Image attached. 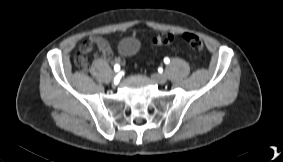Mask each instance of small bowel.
Returning <instances> with one entry per match:
<instances>
[{
  "label": "small bowel",
  "mask_w": 283,
  "mask_h": 162,
  "mask_svg": "<svg viewBox=\"0 0 283 162\" xmlns=\"http://www.w3.org/2000/svg\"><path fill=\"white\" fill-rule=\"evenodd\" d=\"M94 47L97 48L96 57L98 60L108 62L114 61L108 41L99 35H91L88 38V41L81 46L80 53L87 55Z\"/></svg>",
  "instance_id": "1"
}]
</instances>
